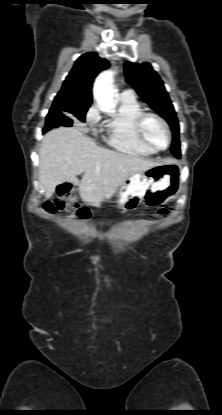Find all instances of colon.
Returning a JSON list of instances; mask_svg holds the SVG:
<instances>
[{
    "instance_id": "5ec220e1",
    "label": "colon",
    "mask_w": 222,
    "mask_h": 415,
    "mask_svg": "<svg viewBox=\"0 0 222 415\" xmlns=\"http://www.w3.org/2000/svg\"><path fill=\"white\" fill-rule=\"evenodd\" d=\"M58 198L47 203L46 208L50 212L67 211L75 208L74 206V190L73 187L68 183H63L57 188ZM80 215H86V211L79 210ZM159 213H166L165 209H161Z\"/></svg>"
}]
</instances>
